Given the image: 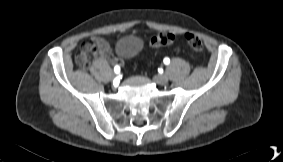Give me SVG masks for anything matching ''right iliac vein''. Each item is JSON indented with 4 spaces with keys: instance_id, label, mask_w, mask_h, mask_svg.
<instances>
[{
    "instance_id": "right-iliac-vein-1",
    "label": "right iliac vein",
    "mask_w": 283,
    "mask_h": 162,
    "mask_svg": "<svg viewBox=\"0 0 283 162\" xmlns=\"http://www.w3.org/2000/svg\"><path fill=\"white\" fill-rule=\"evenodd\" d=\"M115 78H117V74L116 73H112L111 74V79H115Z\"/></svg>"
}]
</instances>
